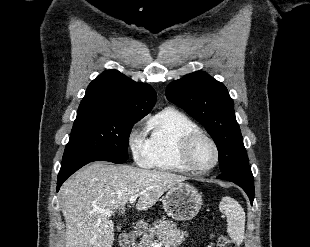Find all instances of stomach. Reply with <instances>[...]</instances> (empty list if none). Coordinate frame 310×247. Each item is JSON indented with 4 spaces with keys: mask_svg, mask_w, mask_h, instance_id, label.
Masks as SVG:
<instances>
[{
    "mask_svg": "<svg viewBox=\"0 0 310 247\" xmlns=\"http://www.w3.org/2000/svg\"><path fill=\"white\" fill-rule=\"evenodd\" d=\"M202 205V196L192 185L181 182L168 190L163 198V208L177 221L192 220ZM146 230V224L138 223V231Z\"/></svg>",
    "mask_w": 310,
    "mask_h": 247,
    "instance_id": "obj_1",
    "label": "stomach"
}]
</instances>
